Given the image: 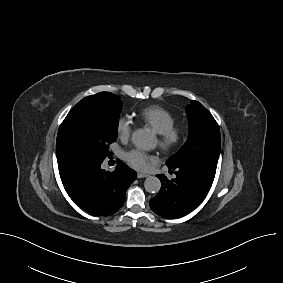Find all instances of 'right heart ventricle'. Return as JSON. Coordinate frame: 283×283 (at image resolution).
I'll return each mask as SVG.
<instances>
[{"mask_svg": "<svg viewBox=\"0 0 283 283\" xmlns=\"http://www.w3.org/2000/svg\"><path fill=\"white\" fill-rule=\"evenodd\" d=\"M137 116L142 123L149 126L156 133L164 130L175 122V118L171 112L157 105L142 109Z\"/></svg>", "mask_w": 283, "mask_h": 283, "instance_id": "right-heart-ventricle-1", "label": "right heart ventricle"}]
</instances>
